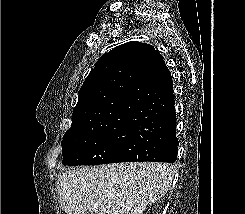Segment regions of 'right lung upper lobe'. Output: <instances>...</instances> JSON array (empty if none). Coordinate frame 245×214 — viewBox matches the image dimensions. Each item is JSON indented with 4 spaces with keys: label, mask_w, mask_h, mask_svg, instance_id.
I'll use <instances>...</instances> for the list:
<instances>
[{
    "label": "right lung upper lobe",
    "mask_w": 245,
    "mask_h": 214,
    "mask_svg": "<svg viewBox=\"0 0 245 214\" xmlns=\"http://www.w3.org/2000/svg\"><path fill=\"white\" fill-rule=\"evenodd\" d=\"M166 70L149 44L130 41L103 54L80 88L68 131L130 125L141 112L138 98L166 85Z\"/></svg>",
    "instance_id": "1"
}]
</instances>
